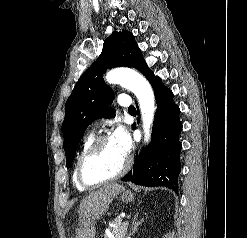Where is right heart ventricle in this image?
I'll list each match as a JSON object with an SVG mask.
<instances>
[{"instance_id": "1", "label": "right heart ventricle", "mask_w": 247, "mask_h": 238, "mask_svg": "<svg viewBox=\"0 0 247 238\" xmlns=\"http://www.w3.org/2000/svg\"><path fill=\"white\" fill-rule=\"evenodd\" d=\"M94 140V136L93 134H90L86 137L83 145H82V148L77 156V159H76V162L74 164V168H73V172H72V181H73V184L74 186L79 189V190H86L88 189L87 187L81 185L77 179V173H76V169H77V164H78V161L81 157V155L84 153V151L89 147V145L92 143V141Z\"/></svg>"}]
</instances>
